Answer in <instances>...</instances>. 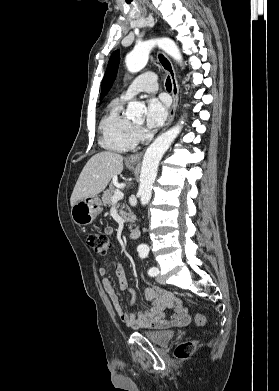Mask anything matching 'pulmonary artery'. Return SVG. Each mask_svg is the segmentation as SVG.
Wrapping results in <instances>:
<instances>
[{
  "label": "pulmonary artery",
  "instance_id": "obj_1",
  "mask_svg": "<svg viewBox=\"0 0 279 391\" xmlns=\"http://www.w3.org/2000/svg\"><path fill=\"white\" fill-rule=\"evenodd\" d=\"M157 88V75L154 72H146L130 83L127 89L122 93L121 98L129 100L138 93L155 92Z\"/></svg>",
  "mask_w": 279,
  "mask_h": 391
}]
</instances>
